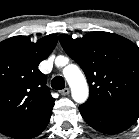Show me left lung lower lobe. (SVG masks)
<instances>
[{
	"label": "left lung lower lobe",
	"mask_w": 139,
	"mask_h": 139,
	"mask_svg": "<svg viewBox=\"0 0 139 139\" xmlns=\"http://www.w3.org/2000/svg\"><path fill=\"white\" fill-rule=\"evenodd\" d=\"M83 119L97 131L116 134L129 128L139 117V104L117 109H98L79 106Z\"/></svg>",
	"instance_id": "obj_1"
}]
</instances>
